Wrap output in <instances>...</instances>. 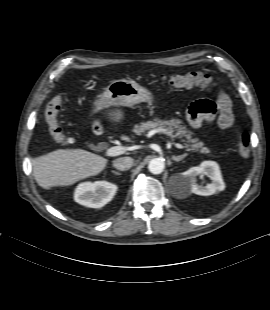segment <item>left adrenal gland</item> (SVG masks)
<instances>
[{
    "mask_svg": "<svg viewBox=\"0 0 270 310\" xmlns=\"http://www.w3.org/2000/svg\"><path fill=\"white\" fill-rule=\"evenodd\" d=\"M187 156V154H183V155H179V156H172V159L176 162L182 161L185 157Z\"/></svg>",
    "mask_w": 270,
    "mask_h": 310,
    "instance_id": "a2214340",
    "label": "left adrenal gland"
}]
</instances>
